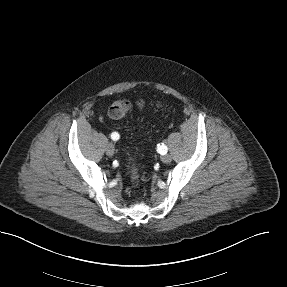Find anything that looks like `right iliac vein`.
<instances>
[{
    "label": "right iliac vein",
    "instance_id": "right-iliac-vein-1",
    "mask_svg": "<svg viewBox=\"0 0 287 287\" xmlns=\"http://www.w3.org/2000/svg\"><path fill=\"white\" fill-rule=\"evenodd\" d=\"M106 154H107L109 157H111V156L114 155V146H113V144L110 143V144L107 145Z\"/></svg>",
    "mask_w": 287,
    "mask_h": 287
}]
</instances>
